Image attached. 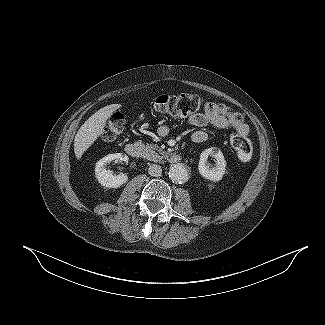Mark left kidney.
Instances as JSON below:
<instances>
[{
  "label": "left kidney",
  "instance_id": "1",
  "mask_svg": "<svg viewBox=\"0 0 325 325\" xmlns=\"http://www.w3.org/2000/svg\"><path fill=\"white\" fill-rule=\"evenodd\" d=\"M211 156L216 159L215 167H210L207 163L208 157ZM199 173L207 180L218 182L222 180L223 175L226 172V161L223 153L216 147L205 149L200 154V160L198 165Z\"/></svg>",
  "mask_w": 325,
  "mask_h": 325
}]
</instances>
